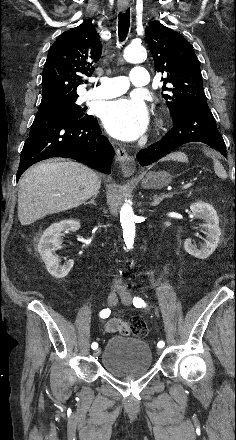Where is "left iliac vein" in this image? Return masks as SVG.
<instances>
[{
    "label": "left iliac vein",
    "instance_id": "1",
    "mask_svg": "<svg viewBox=\"0 0 236 440\" xmlns=\"http://www.w3.org/2000/svg\"><path fill=\"white\" fill-rule=\"evenodd\" d=\"M121 301L125 305H130L132 303V297L128 292H124L123 294H121ZM157 353L161 354L162 349H158Z\"/></svg>",
    "mask_w": 236,
    "mask_h": 440
}]
</instances>
